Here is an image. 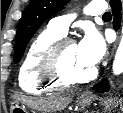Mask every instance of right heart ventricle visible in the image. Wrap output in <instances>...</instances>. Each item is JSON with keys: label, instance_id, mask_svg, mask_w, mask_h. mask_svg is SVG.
<instances>
[{"label": "right heart ventricle", "instance_id": "e07e8e85", "mask_svg": "<svg viewBox=\"0 0 123 113\" xmlns=\"http://www.w3.org/2000/svg\"><path fill=\"white\" fill-rule=\"evenodd\" d=\"M63 36L64 34L48 27L32 41L18 74L19 85L24 91L42 94L62 87L43 77L40 64L50 46Z\"/></svg>", "mask_w": 123, "mask_h": 113}]
</instances>
